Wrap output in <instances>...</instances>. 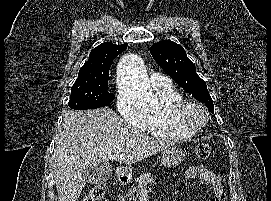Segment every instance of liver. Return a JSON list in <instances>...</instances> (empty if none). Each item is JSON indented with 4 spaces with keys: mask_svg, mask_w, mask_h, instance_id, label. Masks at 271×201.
<instances>
[{
    "mask_svg": "<svg viewBox=\"0 0 271 201\" xmlns=\"http://www.w3.org/2000/svg\"><path fill=\"white\" fill-rule=\"evenodd\" d=\"M172 141L152 138L131 127L110 108L67 111L55 136L54 179L58 201H76L90 163L134 164L167 149Z\"/></svg>",
    "mask_w": 271,
    "mask_h": 201,
    "instance_id": "liver-1",
    "label": "liver"
}]
</instances>
